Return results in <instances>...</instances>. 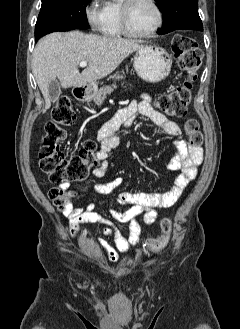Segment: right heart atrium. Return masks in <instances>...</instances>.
Here are the masks:
<instances>
[{
  "mask_svg": "<svg viewBox=\"0 0 240 329\" xmlns=\"http://www.w3.org/2000/svg\"><path fill=\"white\" fill-rule=\"evenodd\" d=\"M85 15H86V19H87L88 23L92 27H98L100 20H101V16H102L101 9H98V8L94 7L93 5H89L85 9Z\"/></svg>",
  "mask_w": 240,
  "mask_h": 329,
  "instance_id": "1",
  "label": "right heart atrium"
}]
</instances>
